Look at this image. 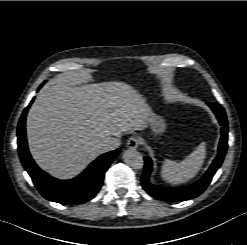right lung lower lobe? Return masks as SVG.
<instances>
[{"label": "right lung lower lobe", "mask_w": 247, "mask_h": 245, "mask_svg": "<svg viewBox=\"0 0 247 245\" xmlns=\"http://www.w3.org/2000/svg\"><path fill=\"white\" fill-rule=\"evenodd\" d=\"M33 102V101H32ZM30 105L24 110L18 125V151L21 162L31 176L40 194L50 201L61 204H80L92 199L100 190L104 174L119 154L120 149L105 153L93 161L88 168L72 180H57L42 171L28 151L25 116Z\"/></svg>", "instance_id": "obj_1"}]
</instances>
